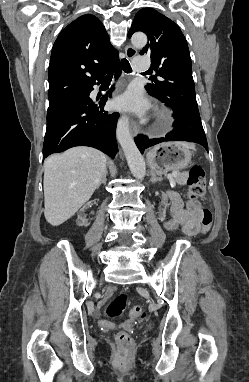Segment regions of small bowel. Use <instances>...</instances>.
<instances>
[{
	"label": "small bowel",
	"mask_w": 249,
	"mask_h": 382,
	"mask_svg": "<svg viewBox=\"0 0 249 382\" xmlns=\"http://www.w3.org/2000/svg\"><path fill=\"white\" fill-rule=\"evenodd\" d=\"M171 219H169L165 226L168 230H176L181 228L184 234L194 236L200 230V220L202 212L200 210H190L183 207L180 197L175 194H169Z\"/></svg>",
	"instance_id": "c3829d8e"
}]
</instances>
